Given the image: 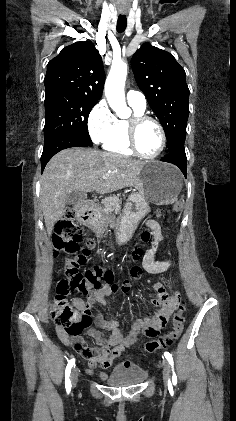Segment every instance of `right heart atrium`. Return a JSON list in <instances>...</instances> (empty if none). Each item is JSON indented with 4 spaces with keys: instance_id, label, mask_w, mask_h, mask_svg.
<instances>
[{
    "instance_id": "obj_1",
    "label": "right heart atrium",
    "mask_w": 236,
    "mask_h": 421,
    "mask_svg": "<svg viewBox=\"0 0 236 421\" xmlns=\"http://www.w3.org/2000/svg\"><path fill=\"white\" fill-rule=\"evenodd\" d=\"M115 117L104 100L99 101L90 111L87 118V128L92 142L103 143L111 131Z\"/></svg>"
}]
</instances>
